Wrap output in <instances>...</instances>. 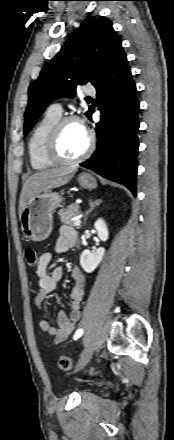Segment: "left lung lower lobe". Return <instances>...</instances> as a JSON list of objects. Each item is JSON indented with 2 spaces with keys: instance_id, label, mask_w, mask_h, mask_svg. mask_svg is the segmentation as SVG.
Segmentation results:
<instances>
[{
  "instance_id": "0a47b994",
  "label": "left lung lower lobe",
  "mask_w": 174,
  "mask_h": 440,
  "mask_svg": "<svg viewBox=\"0 0 174 440\" xmlns=\"http://www.w3.org/2000/svg\"><path fill=\"white\" fill-rule=\"evenodd\" d=\"M95 88L101 111L95 128L97 149L80 165L125 185L136 195L140 105L124 50L109 63ZM93 112L91 108L90 120Z\"/></svg>"
}]
</instances>
